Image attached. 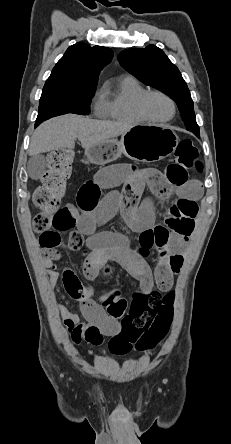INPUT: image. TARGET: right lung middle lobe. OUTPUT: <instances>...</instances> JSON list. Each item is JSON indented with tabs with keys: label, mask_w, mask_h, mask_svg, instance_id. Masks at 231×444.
Returning a JSON list of instances; mask_svg holds the SVG:
<instances>
[{
	"label": "right lung middle lobe",
	"mask_w": 231,
	"mask_h": 444,
	"mask_svg": "<svg viewBox=\"0 0 231 444\" xmlns=\"http://www.w3.org/2000/svg\"><path fill=\"white\" fill-rule=\"evenodd\" d=\"M94 91L95 88L43 89L35 127L44 120L66 113L88 114L89 103L94 95Z\"/></svg>",
	"instance_id": "right-lung-middle-lobe-1"
}]
</instances>
